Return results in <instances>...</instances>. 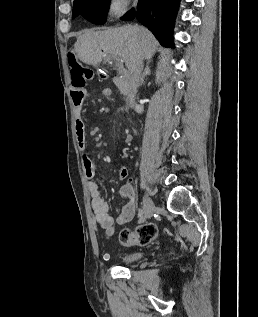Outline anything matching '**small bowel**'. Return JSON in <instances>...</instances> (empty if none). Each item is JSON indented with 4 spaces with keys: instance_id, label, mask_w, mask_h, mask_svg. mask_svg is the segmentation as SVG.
I'll list each match as a JSON object with an SVG mask.
<instances>
[{
    "instance_id": "obj_1",
    "label": "small bowel",
    "mask_w": 258,
    "mask_h": 317,
    "mask_svg": "<svg viewBox=\"0 0 258 317\" xmlns=\"http://www.w3.org/2000/svg\"><path fill=\"white\" fill-rule=\"evenodd\" d=\"M87 119L82 110L78 111L75 118V133L79 148L84 151L87 146L86 139ZM82 164L86 177L89 179L88 189L91 196V207L98 225L104 229L109 237L114 236L117 231V225H123L130 222L135 215L134 191L130 182H125L120 187V195L128 199V202L122 207L118 217L114 220L109 214V205L101 196L99 185L93 180L95 177V167L91 158L83 156ZM128 177V169L122 166L118 171V178L123 180Z\"/></svg>"
}]
</instances>
